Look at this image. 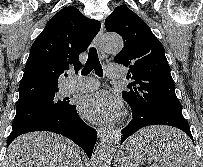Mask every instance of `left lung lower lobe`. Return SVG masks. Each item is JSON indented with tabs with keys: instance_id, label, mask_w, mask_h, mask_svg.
Here are the masks:
<instances>
[{
	"instance_id": "left-lung-lower-lobe-1",
	"label": "left lung lower lobe",
	"mask_w": 203,
	"mask_h": 167,
	"mask_svg": "<svg viewBox=\"0 0 203 167\" xmlns=\"http://www.w3.org/2000/svg\"><path fill=\"white\" fill-rule=\"evenodd\" d=\"M133 111V118L129 122V124L123 129V136L122 141H125L129 136H131L133 133L138 131L140 128L150 126V125H168L176 127L180 130H182L188 137L193 141V137L190 131L189 124L187 120L183 117L182 111L174 110V111H167L163 113H159L156 115H142L134 110ZM186 137V136H185ZM188 137L187 141H184L182 143V149L189 148L191 141ZM187 142V144H186ZM161 142L159 139L151 138L150 140L144 139L143 142L137 143L133 146V149H140V148H157ZM163 144V142H162Z\"/></svg>"
}]
</instances>
